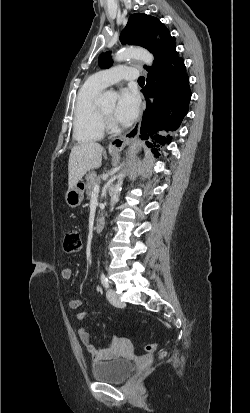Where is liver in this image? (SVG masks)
I'll use <instances>...</instances> for the list:
<instances>
[{
	"label": "liver",
	"instance_id": "1",
	"mask_svg": "<svg viewBox=\"0 0 250 413\" xmlns=\"http://www.w3.org/2000/svg\"><path fill=\"white\" fill-rule=\"evenodd\" d=\"M103 150L97 142H83L71 149L68 162L69 189H72L88 171L101 166Z\"/></svg>",
	"mask_w": 250,
	"mask_h": 413
}]
</instances>
